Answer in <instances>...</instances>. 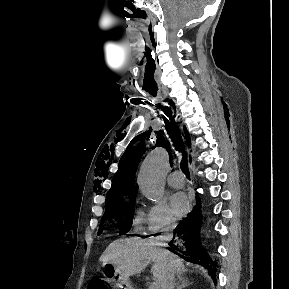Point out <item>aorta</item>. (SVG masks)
Here are the masks:
<instances>
[{
  "instance_id": "1",
  "label": "aorta",
  "mask_w": 289,
  "mask_h": 289,
  "mask_svg": "<svg viewBox=\"0 0 289 289\" xmlns=\"http://www.w3.org/2000/svg\"><path fill=\"white\" fill-rule=\"evenodd\" d=\"M168 169V154L162 147L155 148L142 162L138 174L140 192L158 203L164 193V176Z\"/></svg>"
}]
</instances>
